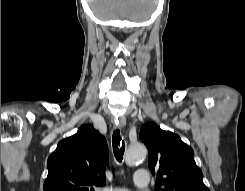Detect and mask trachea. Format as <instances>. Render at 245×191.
<instances>
[{
  "label": "trachea",
  "mask_w": 245,
  "mask_h": 191,
  "mask_svg": "<svg viewBox=\"0 0 245 191\" xmlns=\"http://www.w3.org/2000/svg\"><path fill=\"white\" fill-rule=\"evenodd\" d=\"M112 145H113V152L117 161L121 162L125 151V142L124 140H122V136L118 129L113 132Z\"/></svg>",
  "instance_id": "3493384b"
}]
</instances>
